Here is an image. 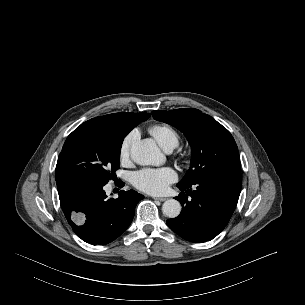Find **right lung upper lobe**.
Here are the masks:
<instances>
[{"label": "right lung upper lobe", "mask_w": 305, "mask_h": 305, "mask_svg": "<svg viewBox=\"0 0 305 305\" xmlns=\"http://www.w3.org/2000/svg\"><path fill=\"white\" fill-rule=\"evenodd\" d=\"M149 117L150 114L146 112H141V113L129 112V113H114V114L99 116L90 119L89 121L131 131L141 121H145Z\"/></svg>", "instance_id": "1"}]
</instances>
